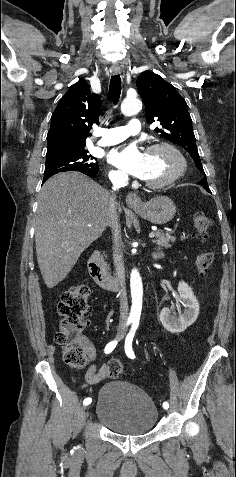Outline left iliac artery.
Returning <instances> with one entry per match:
<instances>
[{"instance_id":"44dca946","label":"left iliac artery","mask_w":236,"mask_h":477,"mask_svg":"<svg viewBox=\"0 0 236 477\" xmlns=\"http://www.w3.org/2000/svg\"><path fill=\"white\" fill-rule=\"evenodd\" d=\"M138 325H139V322H133L132 328L129 331V333L126 336V339H125V353L130 359L135 358V354H134L133 349H132V341H133V338H134V335H135V331L138 328ZM164 407L169 408V403L164 402L163 403V408Z\"/></svg>"}]
</instances>
